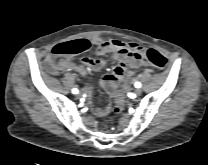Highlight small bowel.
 Instances as JSON below:
<instances>
[{
	"label": "small bowel",
	"mask_w": 208,
	"mask_h": 165,
	"mask_svg": "<svg viewBox=\"0 0 208 165\" xmlns=\"http://www.w3.org/2000/svg\"><path fill=\"white\" fill-rule=\"evenodd\" d=\"M87 41V40H86ZM95 47L97 57H84L82 64H76L69 59L62 61L60 70L76 71L80 77L87 75L88 69L99 70L106 65L102 56L111 54L118 64L111 73L103 76L101 85L109 92H113L119 85H124L134 71L143 65L141 51L144 49L134 42H124L118 39L93 38L87 41ZM108 111L106 106L97 108L98 114H105Z\"/></svg>",
	"instance_id": "obj_1"
}]
</instances>
